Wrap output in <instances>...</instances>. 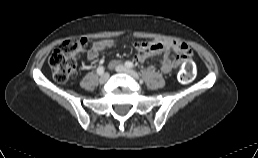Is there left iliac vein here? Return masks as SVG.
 I'll return each mask as SVG.
<instances>
[{"instance_id": "4c4485c4", "label": "left iliac vein", "mask_w": 258, "mask_h": 158, "mask_svg": "<svg viewBox=\"0 0 258 158\" xmlns=\"http://www.w3.org/2000/svg\"><path fill=\"white\" fill-rule=\"evenodd\" d=\"M115 70L119 73L128 74L135 79L139 78V75L134 70H131V69H129V68H127V67H125L121 64L116 65Z\"/></svg>"}]
</instances>
